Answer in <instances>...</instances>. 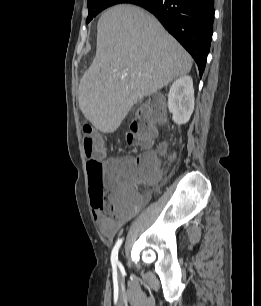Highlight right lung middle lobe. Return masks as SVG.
<instances>
[{
  "label": "right lung middle lobe",
  "mask_w": 261,
  "mask_h": 306,
  "mask_svg": "<svg viewBox=\"0 0 261 306\" xmlns=\"http://www.w3.org/2000/svg\"><path fill=\"white\" fill-rule=\"evenodd\" d=\"M130 0H88L87 6L89 10L86 22H90L102 10L118 3H129Z\"/></svg>",
  "instance_id": "obj_1"
}]
</instances>
